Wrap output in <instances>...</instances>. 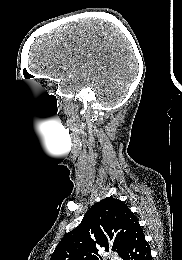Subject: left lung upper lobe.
<instances>
[{
    "instance_id": "obj_1",
    "label": "left lung upper lobe",
    "mask_w": 182,
    "mask_h": 260,
    "mask_svg": "<svg viewBox=\"0 0 182 260\" xmlns=\"http://www.w3.org/2000/svg\"><path fill=\"white\" fill-rule=\"evenodd\" d=\"M140 224L119 199L107 197L95 203L81 224L67 233L51 255V260H99L98 251H115L120 256L133 231Z\"/></svg>"
}]
</instances>
